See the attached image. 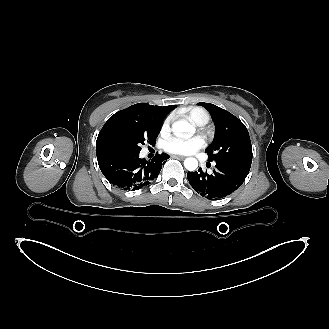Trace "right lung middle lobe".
Here are the masks:
<instances>
[{"label":"right lung middle lobe","mask_w":329,"mask_h":329,"mask_svg":"<svg viewBox=\"0 0 329 329\" xmlns=\"http://www.w3.org/2000/svg\"><path fill=\"white\" fill-rule=\"evenodd\" d=\"M160 127L161 125H157L147 132L119 134L115 136L113 145L119 152H140L145 141L149 144L155 143Z\"/></svg>","instance_id":"right-lung-middle-lobe-1"}]
</instances>
